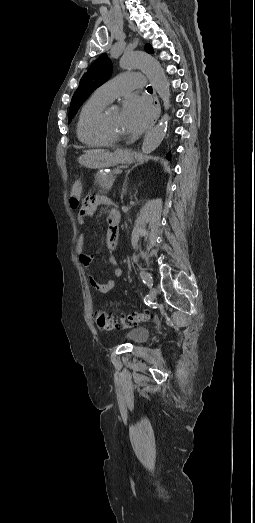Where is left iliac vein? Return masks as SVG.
I'll list each match as a JSON object with an SVG mask.
<instances>
[{
	"instance_id": "obj_1",
	"label": "left iliac vein",
	"mask_w": 255,
	"mask_h": 523,
	"mask_svg": "<svg viewBox=\"0 0 255 523\" xmlns=\"http://www.w3.org/2000/svg\"><path fill=\"white\" fill-rule=\"evenodd\" d=\"M146 277H147V279L149 281V285L152 286L153 285V280H152L151 275L149 273H146ZM156 296H157V290L155 288L151 287L150 292H149V299L151 301H153V300H155Z\"/></svg>"
}]
</instances>
